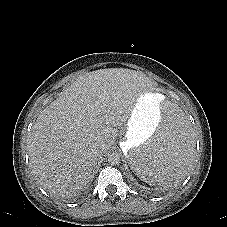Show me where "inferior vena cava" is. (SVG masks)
Listing matches in <instances>:
<instances>
[{
	"mask_svg": "<svg viewBox=\"0 0 227 227\" xmlns=\"http://www.w3.org/2000/svg\"><path fill=\"white\" fill-rule=\"evenodd\" d=\"M105 149H106V145L103 144V143H101V144H99V145L96 146L95 153L97 155L102 154L105 151Z\"/></svg>",
	"mask_w": 227,
	"mask_h": 227,
	"instance_id": "obj_1",
	"label": "inferior vena cava"
}]
</instances>
